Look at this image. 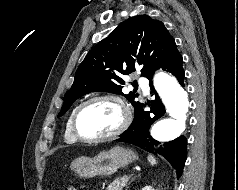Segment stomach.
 Returning a JSON list of instances; mask_svg holds the SVG:
<instances>
[{
	"mask_svg": "<svg viewBox=\"0 0 238 190\" xmlns=\"http://www.w3.org/2000/svg\"><path fill=\"white\" fill-rule=\"evenodd\" d=\"M138 160V155L123 147H113L109 151H102L95 157H78L71 164V169L81 178L108 177L119 168L126 167Z\"/></svg>",
	"mask_w": 238,
	"mask_h": 190,
	"instance_id": "obj_1",
	"label": "stomach"
}]
</instances>
